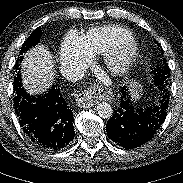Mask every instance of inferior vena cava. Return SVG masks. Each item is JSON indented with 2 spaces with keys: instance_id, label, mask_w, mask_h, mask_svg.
Here are the masks:
<instances>
[{
  "instance_id": "inferior-vena-cava-1",
  "label": "inferior vena cava",
  "mask_w": 183,
  "mask_h": 183,
  "mask_svg": "<svg viewBox=\"0 0 183 183\" xmlns=\"http://www.w3.org/2000/svg\"><path fill=\"white\" fill-rule=\"evenodd\" d=\"M62 75L71 81H78L84 75L83 70L76 64H67L61 69Z\"/></svg>"
}]
</instances>
